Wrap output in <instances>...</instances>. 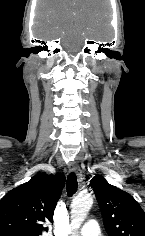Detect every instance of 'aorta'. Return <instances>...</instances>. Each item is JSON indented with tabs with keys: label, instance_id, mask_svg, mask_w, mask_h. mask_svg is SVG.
<instances>
[{
	"label": "aorta",
	"instance_id": "762f6f07",
	"mask_svg": "<svg viewBox=\"0 0 145 236\" xmlns=\"http://www.w3.org/2000/svg\"><path fill=\"white\" fill-rule=\"evenodd\" d=\"M92 204L93 198L90 195L78 196L73 200L71 204L72 236H78V229L85 220Z\"/></svg>",
	"mask_w": 145,
	"mask_h": 236
}]
</instances>
